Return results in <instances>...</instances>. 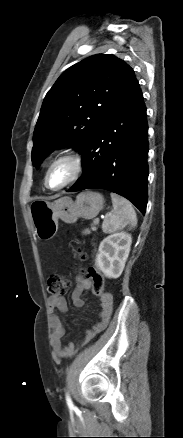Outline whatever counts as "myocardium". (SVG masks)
<instances>
[{"mask_svg":"<svg viewBox=\"0 0 183 438\" xmlns=\"http://www.w3.org/2000/svg\"><path fill=\"white\" fill-rule=\"evenodd\" d=\"M62 161H67L71 164L72 166V175L71 177L62 185L58 186V187H50L48 184V174L50 169L57 163L62 162ZM84 170V163L82 158L75 153H66V154H62L58 157H56L55 159H53L47 166L45 173H44V185L47 189L52 190V191H58L61 190L65 187H67L68 185L74 183L75 181H77L80 176L82 175Z\"/></svg>","mask_w":183,"mask_h":438,"instance_id":"1","label":"myocardium"}]
</instances>
